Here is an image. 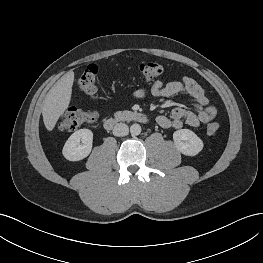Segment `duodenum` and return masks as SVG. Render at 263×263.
I'll list each match as a JSON object with an SVG mask.
<instances>
[{
  "instance_id": "duodenum-1",
  "label": "duodenum",
  "mask_w": 263,
  "mask_h": 263,
  "mask_svg": "<svg viewBox=\"0 0 263 263\" xmlns=\"http://www.w3.org/2000/svg\"><path fill=\"white\" fill-rule=\"evenodd\" d=\"M124 120H131L134 122L147 123L148 122V116L142 112L134 111V112H131L127 115H122V116H118V117H109V118L105 119L104 127L106 129H112Z\"/></svg>"
}]
</instances>
